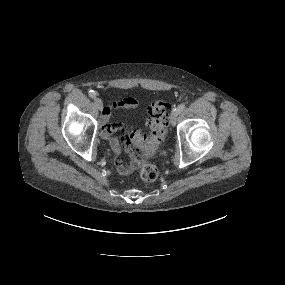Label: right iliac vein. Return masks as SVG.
Listing matches in <instances>:
<instances>
[{
	"instance_id": "right-iliac-vein-1",
	"label": "right iliac vein",
	"mask_w": 285,
	"mask_h": 285,
	"mask_svg": "<svg viewBox=\"0 0 285 285\" xmlns=\"http://www.w3.org/2000/svg\"><path fill=\"white\" fill-rule=\"evenodd\" d=\"M94 103H95V106L99 109V110H102L103 109V102L100 98H95L94 99Z\"/></svg>"
}]
</instances>
